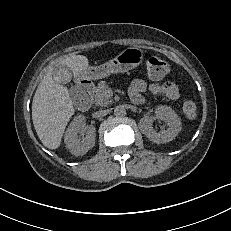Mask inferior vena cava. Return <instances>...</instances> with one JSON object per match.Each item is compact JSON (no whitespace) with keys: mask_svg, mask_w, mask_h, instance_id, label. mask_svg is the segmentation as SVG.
I'll use <instances>...</instances> for the list:
<instances>
[{"mask_svg":"<svg viewBox=\"0 0 231 231\" xmlns=\"http://www.w3.org/2000/svg\"><path fill=\"white\" fill-rule=\"evenodd\" d=\"M108 113H109V110H99L95 112L93 115L94 117H102V116H106Z\"/></svg>","mask_w":231,"mask_h":231,"instance_id":"inferior-vena-cava-1","label":"inferior vena cava"}]
</instances>
